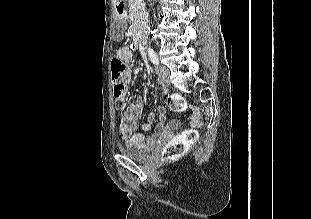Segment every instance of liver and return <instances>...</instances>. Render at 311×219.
Wrapping results in <instances>:
<instances>
[{
    "label": "liver",
    "instance_id": "liver-1",
    "mask_svg": "<svg viewBox=\"0 0 311 219\" xmlns=\"http://www.w3.org/2000/svg\"><path fill=\"white\" fill-rule=\"evenodd\" d=\"M122 0H113V5L115 6L116 4H118L119 2H121Z\"/></svg>",
    "mask_w": 311,
    "mask_h": 219
}]
</instances>
